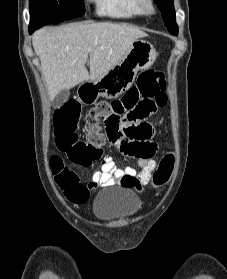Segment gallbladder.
<instances>
[{"instance_id": "gallbladder-1", "label": "gallbladder", "mask_w": 227, "mask_h": 279, "mask_svg": "<svg viewBox=\"0 0 227 279\" xmlns=\"http://www.w3.org/2000/svg\"><path fill=\"white\" fill-rule=\"evenodd\" d=\"M69 95H70V92L67 89L59 92L52 102L53 107L54 108L61 107L69 99Z\"/></svg>"}]
</instances>
